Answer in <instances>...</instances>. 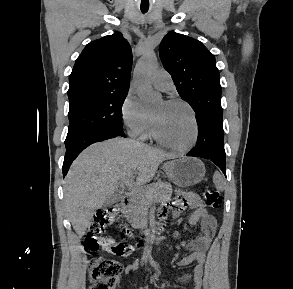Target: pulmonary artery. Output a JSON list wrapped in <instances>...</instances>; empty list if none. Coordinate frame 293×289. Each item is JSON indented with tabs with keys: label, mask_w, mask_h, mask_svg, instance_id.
Listing matches in <instances>:
<instances>
[{
	"label": "pulmonary artery",
	"mask_w": 293,
	"mask_h": 289,
	"mask_svg": "<svg viewBox=\"0 0 293 289\" xmlns=\"http://www.w3.org/2000/svg\"><path fill=\"white\" fill-rule=\"evenodd\" d=\"M153 85L162 91H169L173 88L171 75L165 70H158L153 77Z\"/></svg>",
	"instance_id": "e3ab8cb5"
}]
</instances>
